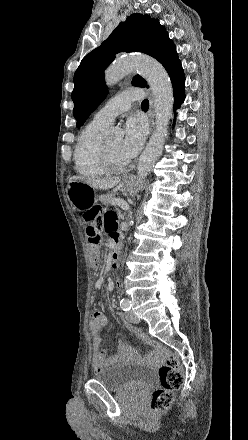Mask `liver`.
I'll list each match as a JSON object with an SVG mask.
<instances>
[{
  "label": "liver",
  "instance_id": "6515ba94",
  "mask_svg": "<svg viewBox=\"0 0 248 440\" xmlns=\"http://www.w3.org/2000/svg\"><path fill=\"white\" fill-rule=\"evenodd\" d=\"M69 181H81L93 188H98L102 190L110 189L120 183L121 179L119 177L116 178H85L80 176H73L69 179Z\"/></svg>",
  "mask_w": 248,
  "mask_h": 440
}]
</instances>
